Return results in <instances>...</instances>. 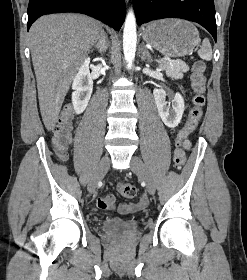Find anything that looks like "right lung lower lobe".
<instances>
[{"instance_id": "right-lung-lower-lobe-1", "label": "right lung lower lobe", "mask_w": 247, "mask_h": 280, "mask_svg": "<svg viewBox=\"0 0 247 280\" xmlns=\"http://www.w3.org/2000/svg\"><path fill=\"white\" fill-rule=\"evenodd\" d=\"M61 12L87 14L119 30L125 19L126 7L124 0H30L27 29L40 16Z\"/></svg>"}]
</instances>
